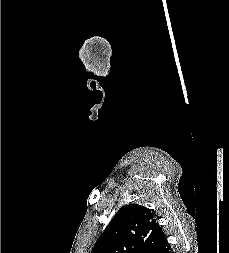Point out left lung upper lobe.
I'll return each mask as SVG.
<instances>
[{
  "mask_svg": "<svg viewBox=\"0 0 229 253\" xmlns=\"http://www.w3.org/2000/svg\"><path fill=\"white\" fill-rule=\"evenodd\" d=\"M164 238L150 209L128 204L115 214L91 253H155Z\"/></svg>",
  "mask_w": 229,
  "mask_h": 253,
  "instance_id": "1",
  "label": "left lung upper lobe"
}]
</instances>
